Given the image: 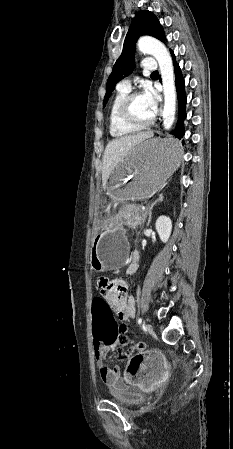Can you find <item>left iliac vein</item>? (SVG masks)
<instances>
[{
	"instance_id": "4c4485c4",
	"label": "left iliac vein",
	"mask_w": 233,
	"mask_h": 449,
	"mask_svg": "<svg viewBox=\"0 0 233 449\" xmlns=\"http://www.w3.org/2000/svg\"><path fill=\"white\" fill-rule=\"evenodd\" d=\"M146 330H147L148 332H151V331L153 330V326H152L150 323H147V324H146Z\"/></svg>"
}]
</instances>
